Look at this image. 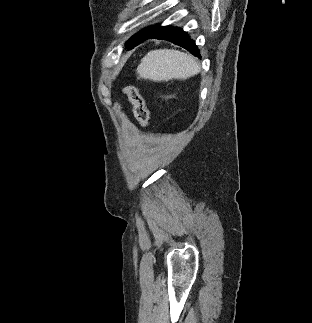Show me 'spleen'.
I'll list each match as a JSON object with an SVG mask.
<instances>
[{"label": "spleen", "mask_w": 312, "mask_h": 323, "mask_svg": "<svg viewBox=\"0 0 312 323\" xmlns=\"http://www.w3.org/2000/svg\"><path fill=\"white\" fill-rule=\"evenodd\" d=\"M200 72V66L193 56L179 50H152L141 60L137 74L143 80L168 82V80H187Z\"/></svg>", "instance_id": "1"}]
</instances>
